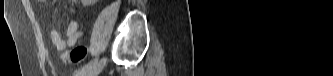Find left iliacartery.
<instances>
[{"instance_id": "1", "label": "left iliac artery", "mask_w": 333, "mask_h": 76, "mask_svg": "<svg viewBox=\"0 0 333 76\" xmlns=\"http://www.w3.org/2000/svg\"><path fill=\"white\" fill-rule=\"evenodd\" d=\"M98 61V59H94L92 61H90L89 63H87L86 65H84L81 69H79L78 71H76L75 75L79 76V74H81L82 72L86 71L87 69L91 68L96 62Z\"/></svg>"}]
</instances>
